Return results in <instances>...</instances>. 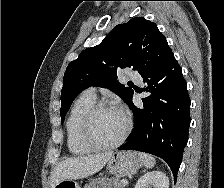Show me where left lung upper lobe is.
<instances>
[{"label": "left lung upper lobe", "instance_id": "left-lung-upper-lobe-1", "mask_svg": "<svg viewBox=\"0 0 224 188\" xmlns=\"http://www.w3.org/2000/svg\"><path fill=\"white\" fill-rule=\"evenodd\" d=\"M172 55L155 23L136 17L117 25L99 45L85 49L68 65L61 92L62 121L75 97L90 86L108 88L129 105L133 90L118 82L117 70L132 67L143 77Z\"/></svg>", "mask_w": 224, "mask_h": 188}]
</instances>
